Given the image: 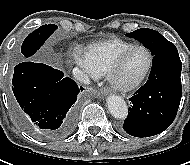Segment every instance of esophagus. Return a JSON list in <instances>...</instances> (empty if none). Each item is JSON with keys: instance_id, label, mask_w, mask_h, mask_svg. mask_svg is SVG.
<instances>
[{"instance_id": "1", "label": "esophagus", "mask_w": 190, "mask_h": 165, "mask_svg": "<svg viewBox=\"0 0 190 165\" xmlns=\"http://www.w3.org/2000/svg\"><path fill=\"white\" fill-rule=\"evenodd\" d=\"M110 93V89L109 88H102L100 89L99 91V94L102 95V96H106Z\"/></svg>"}]
</instances>
